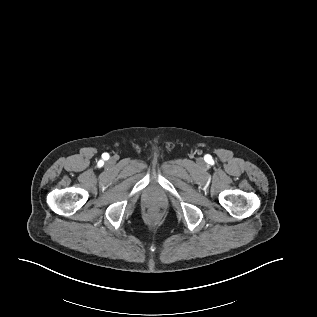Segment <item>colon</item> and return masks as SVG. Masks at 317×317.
<instances>
[{
    "instance_id": "obj_1",
    "label": "colon",
    "mask_w": 317,
    "mask_h": 317,
    "mask_svg": "<svg viewBox=\"0 0 317 317\" xmlns=\"http://www.w3.org/2000/svg\"><path fill=\"white\" fill-rule=\"evenodd\" d=\"M149 217H150L152 220H157V219H159V217H160V212L157 211V210L151 211L150 214H149Z\"/></svg>"
}]
</instances>
